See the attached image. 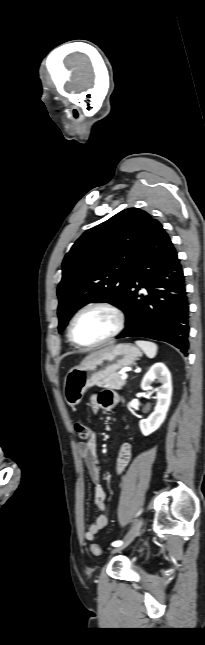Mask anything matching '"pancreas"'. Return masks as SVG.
Instances as JSON below:
<instances>
[{
	"mask_svg": "<svg viewBox=\"0 0 205 645\" xmlns=\"http://www.w3.org/2000/svg\"><path fill=\"white\" fill-rule=\"evenodd\" d=\"M125 384H126V381L121 379V375L114 373L104 378L99 383H97V386L120 390Z\"/></svg>",
	"mask_w": 205,
	"mask_h": 645,
	"instance_id": "1",
	"label": "pancreas"
}]
</instances>
